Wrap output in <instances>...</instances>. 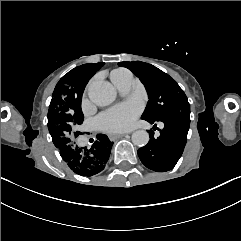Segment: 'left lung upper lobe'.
Returning a JSON list of instances; mask_svg holds the SVG:
<instances>
[{
  "label": "left lung upper lobe",
  "mask_w": 241,
  "mask_h": 241,
  "mask_svg": "<svg viewBox=\"0 0 241 241\" xmlns=\"http://www.w3.org/2000/svg\"><path fill=\"white\" fill-rule=\"evenodd\" d=\"M119 66L131 70L144 84L149 101L141 118L160 121L166 116L189 109L190 104L177 82L157 67L141 62H120Z\"/></svg>",
  "instance_id": "obj_1"
}]
</instances>
